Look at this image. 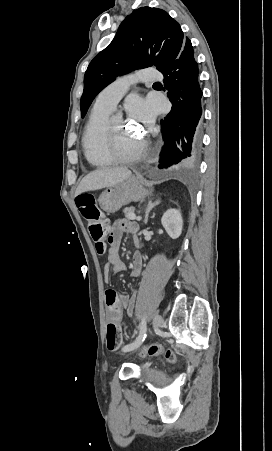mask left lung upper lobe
I'll use <instances>...</instances> for the list:
<instances>
[{
  "label": "left lung upper lobe",
  "mask_w": 272,
  "mask_h": 451,
  "mask_svg": "<svg viewBox=\"0 0 272 451\" xmlns=\"http://www.w3.org/2000/svg\"><path fill=\"white\" fill-rule=\"evenodd\" d=\"M184 41L179 23L166 11L148 6L134 10L85 72L81 117L97 94L117 76L153 65L160 72L165 70L178 57Z\"/></svg>",
  "instance_id": "obj_1"
}]
</instances>
